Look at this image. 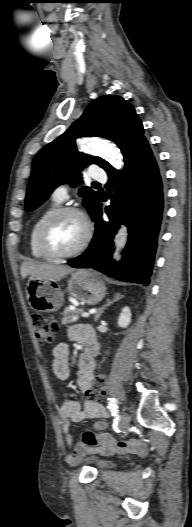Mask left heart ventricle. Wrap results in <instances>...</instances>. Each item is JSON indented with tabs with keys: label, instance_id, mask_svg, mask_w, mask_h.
I'll list each match as a JSON object with an SVG mask.
<instances>
[{
	"label": "left heart ventricle",
	"instance_id": "b2bd125f",
	"mask_svg": "<svg viewBox=\"0 0 192 527\" xmlns=\"http://www.w3.org/2000/svg\"><path fill=\"white\" fill-rule=\"evenodd\" d=\"M83 234L81 219L74 214H66L52 225L48 234L49 245L57 252H69L80 243Z\"/></svg>",
	"mask_w": 192,
	"mask_h": 527
}]
</instances>
